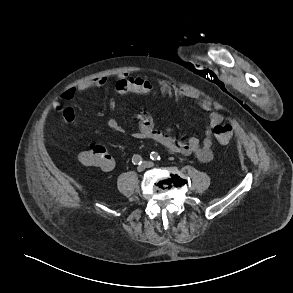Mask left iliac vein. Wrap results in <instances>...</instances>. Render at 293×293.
<instances>
[{"label":"left iliac vein","instance_id":"4c4485c4","mask_svg":"<svg viewBox=\"0 0 293 293\" xmlns=\"http://www.w3.org/2000/svg\"><path fill=\"white\" fill-rule=\"evenodd\" d=\"M143 164L146 168H151L154 166V164L150 161H144Z\"/></svg>","mask_w":293,"mask_h":293}]
</instances>
